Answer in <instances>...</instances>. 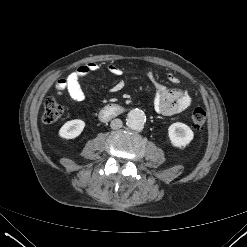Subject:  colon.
I'll use <instances>...</instances> for the list:
<instances>
[{"instance_id": "5ec220e1", "label": "colon", "mask_w": 247, "mask_h": 247, "mask_svg": "<svg viewBox=\"0 0 247 247\" xmlns=\"http://www.w3.org/2000/svg\"><path fill=\"white\" fill-rule=\"evenodd\" d=\"M64 113V108L57 103L53 98L48 97L44 101V108L42 113V120L51 124L61 118ZM207 121V112L201 107L195 108L191 113L192 126L196 130H201L205 126Z\"/></svg>"}]
</instances>
